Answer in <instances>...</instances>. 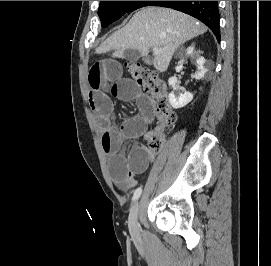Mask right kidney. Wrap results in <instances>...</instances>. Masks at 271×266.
<instances>
[{"instance_id": "1", "label": "right kidney", "mask_w": 271, "mask_h": 266, "mask_svg": "<svg viewBox=\"0 0 271 266\" xmlns=\"http://www.w3.org/2000/svg\"><path fill=\"white\" fill-rule=\"evenodd\" d=\"M189 56L193 57L196 60L197 71L195 72L194 75L195 79L203 78L205 73L207 72V69L204 67L206 60L204 59V57L200 55V52H197L195 50L194 46H189L188 48H186L184 56L181 58L180 63H182L184 59L188 58ZM176 83H177L176 76L169 78V85L172 86L174 90L169 94V102L173 108L178 109L190 103L193 99V94L189 92L184 93L175 92V90H177Z\"/></svg>"}]
</instances>
